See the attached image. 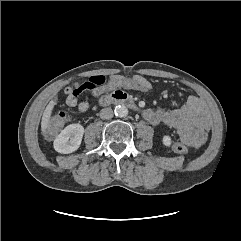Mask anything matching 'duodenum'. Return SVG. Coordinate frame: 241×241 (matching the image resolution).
<instances>
[{"instance_id": "obj_1", "label": "duodenum", "mask_w": 241, "mask_h": 241, "mask_svg": "<svg viewBox=\"0 0 241 241\" xmlns=\"http://www.w3.org/2000/svg\"><path fill=\"white\" fill-rule=\"evenodd\" d=\"M99 103L101 106H109L111 104H123L133 109L137 108L135 102L126 93L122 91H116L113 96H103L100 98Z\"/></svg>"}]
</instances>
